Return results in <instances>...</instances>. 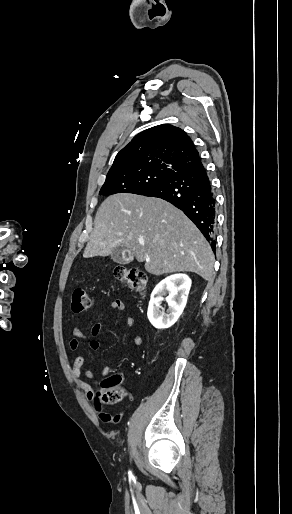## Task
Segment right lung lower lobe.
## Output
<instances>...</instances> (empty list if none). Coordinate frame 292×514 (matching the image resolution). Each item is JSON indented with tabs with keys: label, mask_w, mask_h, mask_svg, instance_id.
<instances>
[{
	"label": "right lung lower lobe",
	"mask_w": 292,
	"mask_h": 514,
	"mask_svg": "<svg viewBox=\"0 0 292 514\" xmlns=\"http://www.w3.org/2000/svg\"><path fill=\"white\" fill-rule=\"evenodd\" d=\"M143 195L164 199L182 210L215 250L216 199L202 162L172 174Z\"/></svg>",
	"instance_id": "right-lung-lower-lobe-1"
}]
</instances>
